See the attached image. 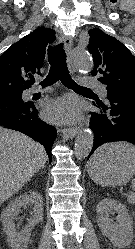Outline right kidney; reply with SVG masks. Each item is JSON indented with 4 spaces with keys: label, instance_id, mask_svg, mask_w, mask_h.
Returning <instances> with one entry per match:
<instances>
[{
    "label": "right kidney",
    "instance_id": "1",
    "mask_svg": "<svg viewBox=\"0 0 135 249\" xmlns=\"http://www.w3.org/2000/svg\"><path fill=\"white\" fill-rule=\"evenodd\" d=\"M27 205L33 206V212L28 220L29 225L18 232L14 224V219L20 213L21 207H26ZM42 220L43 200L39 193H25L12 200L1 215L3 230L10 247L12 249H24L29 241L33 227Z\"/></svg>",
    "mask_w": 135,
    "mask_h": 249
}]
</instances>
